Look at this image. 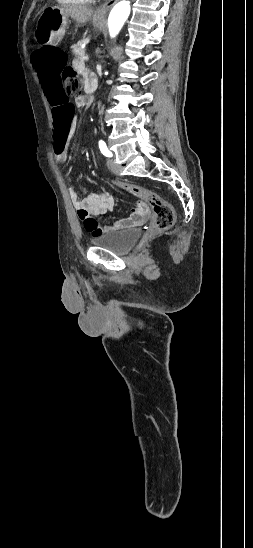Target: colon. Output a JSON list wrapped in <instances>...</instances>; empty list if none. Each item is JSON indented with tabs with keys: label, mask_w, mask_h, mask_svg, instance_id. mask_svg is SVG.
Listing matches in <instances>:
<instances>
[{
	"label": "colon",
	"mask_w": 253,
	"mask_h": 548,
	"mask_svg": "<svg viewBox=\"0 0 253 548\" xmlns=\"http://www.w3.org/2000/svg\"><path fill=\"white\" fill-rule=\"evenodd\" d=\"M66 61V54L56 47H43L33 53V63L36 70L40 72L42 80L43 95L47 96V104L51 105L53 140L55 141L53 148L55 150L64 148V141L74 130L75 113L71 104V96H78L80 93L79 77L73 69L66 67ZM57 155L61 156L62 152L58 151ZM109 180L117 183L120 179L114 176ZM119 186L152 207L154 231L163 232L172 228L175 222V212L170 203L137 185L120 183Z\"/></svg>",
	"instance_id": "obj_1"
}]
</instances>
